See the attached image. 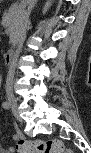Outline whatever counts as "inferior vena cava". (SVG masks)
Segmentation results:
<instances>
[{"label": "inferior vena cava", "mask_w": 91, "mask_h": 153, "mask_svg": "<svg viewBox=\"0 0 91 153\" xmlns=\"http://www.w3.org/2000/svg\"><path fill=\"white\" fill-rule=\"evenodd\" d=\"M36 0H28V8L26 11H23L21 13L22 17V26L21 29L18 33V44L15 47L14 53H20V48L23 46V42L26 36V29L29 24V15L31 13V10L35 4ZM18 54H12L11 60L9 61V71L6 79V90L7 92H11L12 90V83H13V78H14V68H15V63L17 62L16 60L18 59Z\"/></svg>", "instance_id": "602c4592"}]
</instances>
